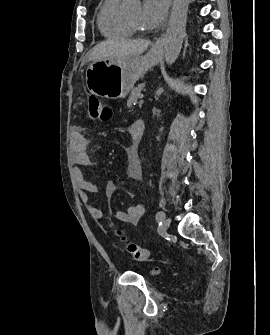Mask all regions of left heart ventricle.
<instances>
[{"instance_id":"b2bd125f","label":"left heart ventricle","mask_w":270,"mask_h":335,"mask_svg":"<svg viewBox=\"0 0 270 335\" xmlns=\"http://www.w3.org/2000/svg\"><path fill=\"white\" fill-rule=\"evenodd\" d=\"M141 10H137L130 14L127 19L136 27H140V19H141Z\"/></svg>"}]
</instances>
